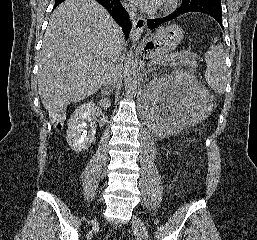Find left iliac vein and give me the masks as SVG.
<instances>
[{"label": "left iliac vein", "mask_w": 257, "mask_h": 240, "mask_svg": "<svg viewBox=\"0 0 257 240\" xmlns=\"http://www.w3.org/2000/svg\"><path fill=\"white\" fill-rule=\"evenodd\" d=\"M132 223H133V227L138 232V234L147 240L149 237L148 231L143 221L138 216L134 215L132 219Z\"/></svg>", "instance_id": "1"}]
</instances>
